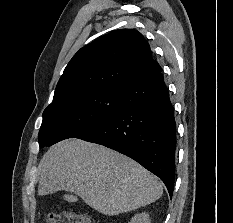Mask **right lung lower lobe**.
Listing matches in <instances>:
<instances>
[{
	"mask_svg": "<svg viewBox=\"0 0 233 223\" xmlns=\"http://www.w3.org/2000/svg\"><path fill=\"white\" fill-rule=\"evenodd\" d=\"M121 109L80 139L112 148L157 175L172 197L176 125L168 89L160 72L121 89Z\"/></svg>",
	"mask_w": 233,
	"mask_h": 223,
	"instance_id": "98d812e1",
	"label": "right lung lower lobe"
}]
</instances>
